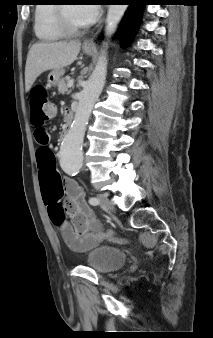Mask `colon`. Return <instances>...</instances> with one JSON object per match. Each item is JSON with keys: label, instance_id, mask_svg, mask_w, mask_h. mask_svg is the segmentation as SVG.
Masks as SVG:
<instances>
[{"label": "colon", "instance_id": "1", "mask_svg": "<svg viewBox=\"0 0 213 338\" xmlns=\"http://www.w3.org/2000/svg\"><path fill=\"white\" fill-rule=\"evenodd\" d=\"M30 121L35 127V140L40 145V150L38 153L39 160L46 157L48 153V144L52 140V135L50 131L45 128L44 124L50 121L56 113V108L53 103L48 100L47 89L43 86H37L32 89L30 93ZM48 179V176H46ZM50 214L54 219L55 223L60 224L64 220V209L60 203H55L50 208ZM106 240L125 243L126 239L114 236L111 233H104Z\"/></svg>", "mask_w": 213, "mask_h": 338}]
</instances>
